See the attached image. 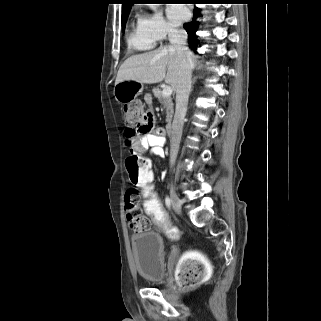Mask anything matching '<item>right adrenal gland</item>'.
<instances>
[{"label":"right adrenal gland","instance_id":"2a0ac1e0","mask_svg":"<svg viewBox=\"0 0 321 321\" xmlns=\"http://www.w3.org/2000/svg\"><path fill=\"white\" fill-rule=\"evenodd\" d=\"M194 82H195V80H193V81H192V87H191L190 92H192V91H193V84H194Z\"/></svg>","mask_w":321,"mask_h":321}]
</instances>
